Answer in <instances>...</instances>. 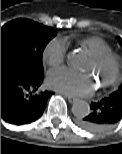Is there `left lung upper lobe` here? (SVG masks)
Instances as JSON below:
<instances>
[{
    "instance_id": "1",
    "label": "left lung upper lobe",
    "mask_w": 122,
    "mask_h": 154,
    "mask_svg": "<svg viewBox=\"0 0 122 154\" xmlns=\"http://www.w3.org/2000/svg\"><path fill=\"white\" fill-rule=\"evenodd\" d=\"M118 41L120 42L121 46H122V39L121 38H118ZM111 96L116 99V100H120L122 102V84L121 86L119 87V89L115 92H113L111 94Z\"/></svg>"
}]
</instances>
